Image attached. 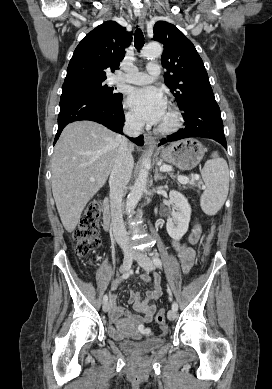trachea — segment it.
Listing matches in <instances>:
<instances>
[{"label":"trachea","mask_w":272,"mask_h":389,"mask_svg":"<svg viewBox=\"0 0 272 389\" xmlns=\"http://www.w3.org/2000/svg\"><path fill=\"white\" fill-rule=\"evenodd\" d=\"M135 48L139 50L144 45V35L140 29H137L134 34Z\"/></svg>","instance_id":"1"}]
</instances>
